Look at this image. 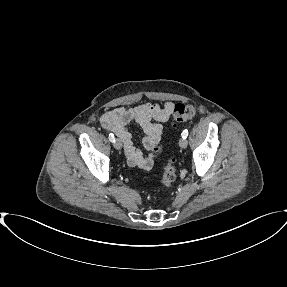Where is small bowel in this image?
Wrapping results in <instances>:
<instances>
[{
  "label": "small bowel",
  "mask_w": 287,
  "mask_h": 287,
  "mask_svg": "<svg viewBox=\"0 0 287 287\" xmlns=\"http://www.w3.org/2000/svg\"><path fill=\"white\" fill-rule=\"evenodd\" d=\"M175 104L167 102L163 107L143 103L136 107L121 106L105 112L101 117L102 126L115 133L123 142L125 155L131 166L149 170L153 166V151L163 135V123L172 115ZM136 122L143 129L142 140L148 154L136 149L128 125Z\"/></svg>",
  "instance_id": "1"
}]
</instances>
